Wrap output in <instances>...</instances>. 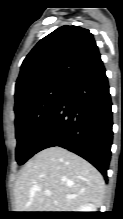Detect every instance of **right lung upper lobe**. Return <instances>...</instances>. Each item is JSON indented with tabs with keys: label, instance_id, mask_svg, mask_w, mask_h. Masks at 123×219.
<instances>
[{
	"label": "right lung upper lobe",
	"instance_id": "cb5924a9",
	"mask_svg": "<svg viewBox=\"0 0 123 219\" xmlns=\"http://www.w3.org/2000/svg\"><path fill=\"white\" fill-rule=\"evenodd\" d=\"M100 58L93 35L79 26H62L40 40L24 59L15 87V101L49 86L66 84Z\"/></svg>",
	"mask_w": 123,
	"mask_h": 219
}]
</instances>
